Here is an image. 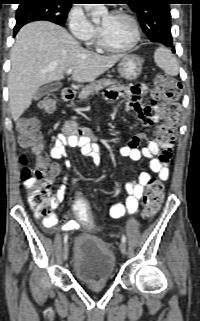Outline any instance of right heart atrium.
Listing matches in <instances>:
<instances>
[{
    "label": "right heart atrium",
    "instance_id": "1",
    "mask_svg": "<svg viewBox=\"0 0 200 321\" xmlns=\"http://www.w3.org/2000/svg\"><path fill=\"white\" fill-rule=\"evenodd\" d=\"M68 27L71 34L81 41L92 39L96 33L94 26L78 6L71 8L68 14Z\"/></svg>",
    "mask_w": 200,
    "mask_h": 321
}]
</instances>
